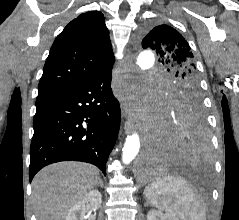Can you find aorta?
Returning <instances> with one entry per match:
<instances>
[{"label": "aorta", "instance_id": "obj_1", "mask_svg": "<svg viewBox=\"0 0 239 220\" xmlns=\"http://www.w3.org/2000/svg\"><path fill=\"white\" fill-rule=\"evenodd\" d=\"M154 49L153 48H142V51L139 52V55L132 60H137L138 69L142 71L148 70L154 71ZM138 72V70H134ZM140 150V138L139 135L134 132L131 135L126 137V141L123 147L122 152V162L124 164H129L132 162Z\"/></svg>", "mask_w": 239, "mask_h": 220}]
</instances>
